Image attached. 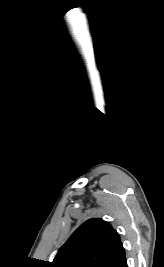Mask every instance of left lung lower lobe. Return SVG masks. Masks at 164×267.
<instances>
[{"mask_svg": "<svg viewBox=\"0 0 164 267\" xmlns=\"http://www.w3.org/2000/svg\"><path fill=\"white\" fill-rule=\"evenodd\" d=\"M105 267H128L123 246L114 254Z\"/></svg>", "mask_w": 164, "mask_h": 267, "instance_id": "1", "label": "left lung lower lobe"}]
</instances>
